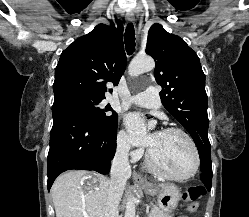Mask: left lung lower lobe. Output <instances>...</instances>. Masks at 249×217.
Segmentation results:
<instances>
[{
	"instance_id": "0a47b994",
	"label": "left lung lower lobe",
	"mask_w": 249,
	"mask_h": 217,
	"mask_svg": "<svg viewBox=\"0 0 249 217\" xmlns=\"http://www.w3.org/2000/svg\"><path fill=\"white\" fill-rule=\"evenodd\" d=\"M201 180L205 184L207 190L210 191L212 184V167L208 169H201Z\"/></svg>"
}]
</instances>
